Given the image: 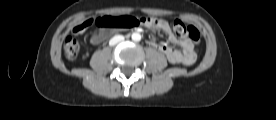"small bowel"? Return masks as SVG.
Masks as SVG:
<instances>
[{
  "mask_svg": "<svg viewBox=\"0 0 276 120\" xmlns=\"http://www.w3.org/2000/svg\"><path fill=\"white\" fill-rule=\"evenodd\" d=\"M145 25L153 30H161L168 36L167 43L151 41L149 44L163 53L170 63L189 66L195 62L196 55L193 51V43L189 39L177 38L172 32L168 22L157 19L156 22ZM73 33L82 32H78L75 27L73 29ZM104 38V32L95 33L91 36V43L94 45H99L103 42ZM175 46L180 47L181 50L177 49Z\"/></svg>",
  "mask_w": 276,
  "mask_h": 120,
  "instance_id": "obj_1",
  "label": "small bowel"
}]
</instances>
